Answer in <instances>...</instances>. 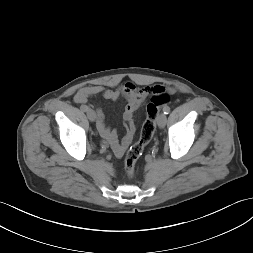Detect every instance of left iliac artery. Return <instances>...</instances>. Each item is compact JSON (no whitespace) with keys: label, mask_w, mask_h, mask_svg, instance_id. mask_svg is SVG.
<instances>
[{"label":"left iliac artery","mask_w":253,"mask_h":253,"mask_svg":"<svg viewBox=\"0 0 253 253\" xmlns=\"http://www.w3.org/2000/svg\"><path fill=\"white\" fill-rule=\"evenodd\" d=\"M163 112H164V114H169V112H170V107L165 106V107L163 108Z\"/></svg>","instance_id":"1"}]
</instances>
